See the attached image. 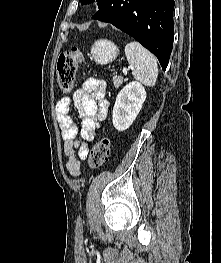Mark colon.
I'll list each match as a JSON object with an SVG mask.
<instances>
[{"label":"colon","instance_id":"obj_1","mask_svg":"<svg viewBox=\"0 0 221 263\" xmlns=\"http://www.w3.org/2000/svg\"><path fill=\"white\" fill-rule=\"evenodd\" d=\"M83 53L74 47L59 55L57 61V82L63 92H69L74 85L77 67L83 62ZM110 140L102 138L91 149L88 164L92 168L103 165L110 155Z\"/></svg>","mask_w":221,"mask_h":263}]
</instances>
